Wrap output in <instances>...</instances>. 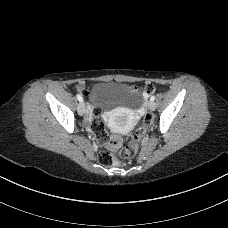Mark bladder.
<instances>
[{
    "label": "bladder",
    "instance_id": "31cf9c89",
    "mask_svg": "<svg viewBox=\"0 0 228 228\" xmlns=\"http://www.w3.org/2000/svg\"><path fill=\"white\" fill-rule=\"evenodd\" d=\"M89 98L92 106L99 109H112L119 106L138 108L142 103V94L137 87L117 82L96 84Z\"/></svg>",
    "mask_w": 228,
    "mask_h": 228
}]
</instances>
